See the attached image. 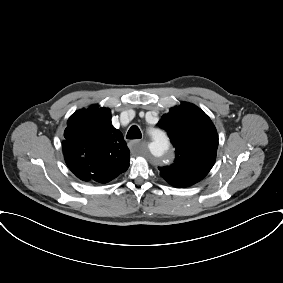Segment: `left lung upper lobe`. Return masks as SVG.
I'll use <instances>...</instances> for the list:
<instances>
[{"instance_id":"5c2ea615","label":"left lung upper lobe","mask_w":283,"mask_h":283,"mask_svg":"<svg viewBox=\"0 0 283 283\" xmlns=\"http://www.w3.org/2000/svg\"><path fill=\"white\" fill-rule=\"evenodd\" d=\"M158 126L168 132L176 149L174 163L159 168L160 175L175 187H187L203 179L214 165L218 146L210 118L184 102L163 115Z\"/></svg>"}]
</instances>
